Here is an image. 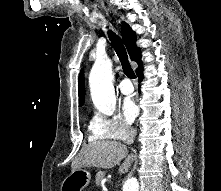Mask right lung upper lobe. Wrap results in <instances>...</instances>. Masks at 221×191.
<instances>
[{
	"label": "right lung upper lobe",
	"instance_id": "cb5924a9",
	"mask_svg": "<svg viewBox=\"0 0 221 191\" xmlns=\"http://www.w3.org/2000/svg\"><path fill=\"white\" fill-rule=\"evenodd\" d=\"M122 37H123L124 44L127 48V51L129 53L130 59L132 61L137 62L139 65L136 70L138 71L140 68H142L141 51H140V48L136 46L137 39H136L135 32L125 22H122ZM78 91H79V105L82 106L84 103V97H85L83 70L79 74Z\"/></svg>",
	"mask_w": 221,
	"mask_h": 191
}]
</instances>
